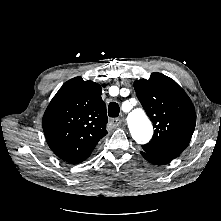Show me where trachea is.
<instances>
[{"label": "trachea", "instance_id": "obj_1", "mask_svg": "<svg viewBox=\"0 0 221 221\" xmlns=\"http://www.w3.org/2000/svg\"><path fill=\"white\" fill-rule=\"evenodd\" d=\"M120 113V107L118 103L111 102L108 106V115L112 118H116L119 116Z\"/></svg>", "mask_w": 221, "mask_h": 221}]
</instances>
